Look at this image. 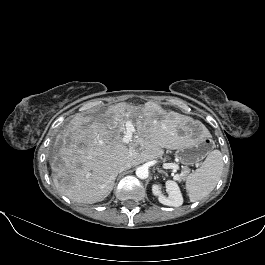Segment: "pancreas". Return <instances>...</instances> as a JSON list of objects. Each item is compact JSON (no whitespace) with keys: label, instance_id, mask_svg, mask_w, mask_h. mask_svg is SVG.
Returning <instances> with one entry per match:
<instances>
[{"label":"pancreas","instance_id":"pancreas-1","mask_svg":"<svg viewBox=\"0 0 265 265\" xmlns=\"http://www.w3.org/2000/svg\"><path fill=\"white\" fill-rule=\"evenodd\" d=\"M188 170L184 169L182 170L181 174L179 175V179L182 180L185 178L186 174H187Z\"/></svg>","mask_w":265,"mask_h":265}]
</instances>
